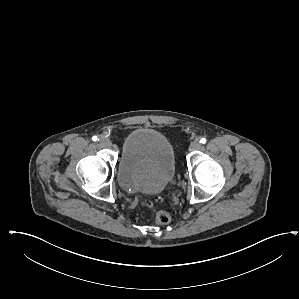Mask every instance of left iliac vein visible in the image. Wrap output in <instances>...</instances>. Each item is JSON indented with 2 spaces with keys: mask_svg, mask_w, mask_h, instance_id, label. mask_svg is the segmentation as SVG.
Instances as JSON below:
<instances>
[{
  "mask_svg": "<svg viewBox=\"0 0 299 299\" xmlns=\"http://www.w3.org/2000/svg\"><path fill=\"white\" fill-rule=\"evenodd\" d=\"M200 147H201L200 142H198V141H193V142L190 144V146H189V150H190V151H195V150L200 149Z\"/></svg>",
  "mask_w": 299,
  "mask_h": 299,
  "instance_id": "obj_1",
  "label": "left iliac vein"
}]
</instances>
